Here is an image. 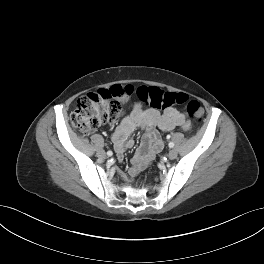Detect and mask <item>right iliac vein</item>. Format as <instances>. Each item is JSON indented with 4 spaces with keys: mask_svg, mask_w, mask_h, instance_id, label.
<instances>
[{
    "mask_svg": "<svg viewBox=\"0 0 264 264\" xmlns=\"http://www.w3.org/2000/svg\"><path fill=\"white\" fill-rule=\"evenodd\" d=\"M97 156L100 157V158H106V154L103 150H99L97 152Z\"/></svg>",
    "mask_w": 264,
    "mask_h": 264,
    "instance_id": "right-iliac-vein-1",
    "label": "right iliac vein"
}]
</instances>
